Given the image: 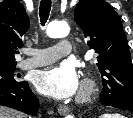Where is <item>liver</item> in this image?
Returning a JSON list of instances; mask_svg holds the SVG:
<instances>
[{
  "mask_svg": "<svg viewBox=\"0 0 133 118\" xmlns=\"http://www.w3.org/2000/svg\"><path fill=\"white\" fill-rule=\"evenodd\" d=\"M0 118H26V115L19 111L0 106Z\"/></svg>",
  "mask_w": 133,
  "mask_h": 118,
  "instance_id": "1",
  "label": "liver"
}]
</instances>
